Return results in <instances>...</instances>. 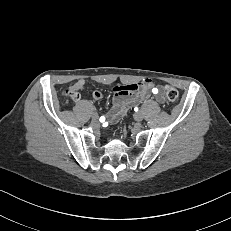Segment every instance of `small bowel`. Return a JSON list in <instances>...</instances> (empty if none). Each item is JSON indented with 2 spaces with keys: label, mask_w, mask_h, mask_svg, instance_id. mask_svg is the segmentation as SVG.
<instances>
[{
  "label": "small bowel",
  "mask_w": 231,
  "mask_h": 231,
  "mask_svg": "<svg viewBox=\"0 0 231 231\" xmlns=\"http://www.w3.org/2000/svg\"><path fill=\"white\" fill-rule=\"evenodd\" d=\"M86 81L78 79L73 85L72 89L81 91L85 89ZM153 83L151 80H143L138 83H127L123 86L115 88V95L113 99V106L108 112V119L110 121L118 120L128 109L129 106L137 104L148 97V90H152ZM154 95V94H153ZM95 101L103 99L102 92L96 90L92 94ZM158 102L164 104L165 97L160 91L155 95Z\"/></svg>",
  "instance_id": "small-bowel-1"
}]
</instances>
